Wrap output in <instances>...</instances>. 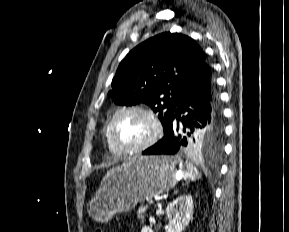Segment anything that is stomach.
Here are the masks:
<instances>
[{
  "label": "stomach",
  "instance_id": "stomach-1",
  "mask_svg": "<svg viewBox=\"0 0 289 232\" xmlns=\"http://www.w3.org/2000/svg\"><path fill=\"white\" fill-rule=\"evenodd\" d=\"M177 158L140 156L114 168L103 178L89 202V215L98 222L132 210L138 202L162 194L176 183Z\"/></svg>",
  "mask_w": 289,
  "mask_h": 232
}]
</instances>
